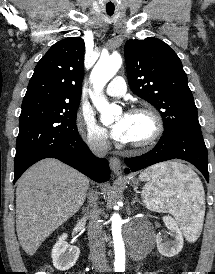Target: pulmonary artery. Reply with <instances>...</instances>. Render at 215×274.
I'll use <instances>...</instances> for the list:
<instances>
[{"mask_svg":"<svg viewBox=\"0 0 215 274\" xmlns=\"http://www.w3.org/2000/svg\"><path fill=\"white\" fill-rule=\"evenodd\" d=\"M126 92V83L123 77L116 76L106 87V93L110 96L119 97Z\"/></svg>","mask_w":215,"mask_h":274,"instance_id":"e3ab8cb5","label":"pulmonary artery"}]
</instances>
